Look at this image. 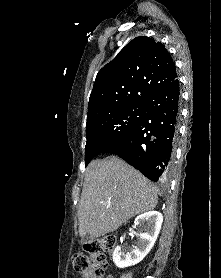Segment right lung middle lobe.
I'll list each match as a JSON object with an SVG mask.
<instances>
[{
	"label": "right lung middle lobe",
	"mask_w": 221,
	"mask_h": 278,
	"mask_svg": "<svg viewBox=\"0 0 221 278\" xmlns=\"http://www.w3.org/2000/svg\"><path fill=\"white\" fill-rule=\"evenodd\" d=\"M146 113L144 101L131 103L87 121L85 164L114 141L133 130Z\"/></svg>",
	"instance_id": "obj_1"
}]
</instances>
